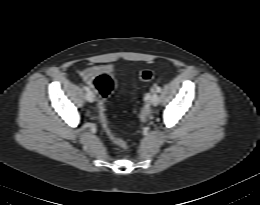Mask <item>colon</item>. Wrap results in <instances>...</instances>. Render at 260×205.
<instances>
[{"mask_svg": "<svg viewBox=\"0 0 260 205\" xmlns=\"http://www.w3.org/2000/svg\"><path fill=\"white\" fill-rule=\"evenodd\" d=\"M155 75V71L143 69L139 73V79L143 82H148L154 79ZM115 84L114 78L106 73L98 74L94 80V88L100 96L99 109L101 112L102 127L108 137L117 146L126 150L128 148L126 142L114 131L106 117L107 99L113 92Z\"/></svg>", "mask_w": 260, "mask_h": 205, "instance_id": "obj_1", "label": "colon"}]
</instances>
